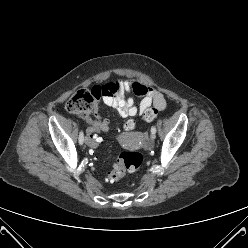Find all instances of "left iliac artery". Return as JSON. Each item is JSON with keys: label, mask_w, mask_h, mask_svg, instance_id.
Here are the masks:
<instances>
[{"label": "left iliac artery", "mask_w": 248, "mask_h": 248, "mask_svg": "<svg viewBox=\"0 0 248 248\" xmlns=\"http://www.w3.org/2000/svg\"><path fill=\"white\" fill-rule=\"evenodd\" d=\"M151 133H154V134L156 133V127L155 126L151 127Z\"/></svg>", "instance_id": "1"}]
</instances>
